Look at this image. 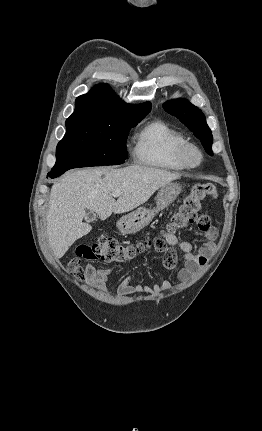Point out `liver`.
<instances>
[{
	"instance_id": "1",
	"label": "liver",
	"mask_w": 262,
	"mask_h": 431,
	"mask_svg": "<svg viewBox=\"0 0 262 431\" xmlns=\"http://www.w3.org/2000/svg\"><path fill=\"white\" fill-rule=\"evenodd\" d=\"M179 173L132 165L122 169L106 167L80 169L65 175L51 189L47 212V235L56 258L88 234L83 223L86 210L101 220L112 213L122 214L144 204L162 186L179 179ZM120 191L117 201L111 195Z\"/></svg>"
}]
</instances>
